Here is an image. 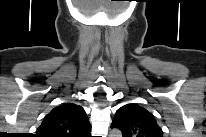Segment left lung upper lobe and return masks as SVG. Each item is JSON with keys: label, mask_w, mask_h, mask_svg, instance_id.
Wrapping results in <instances>:
<instances>
[{"label": "left lung upper lobe", "mask_w": 206, "mask_h": 137, "mask_svg": "<svg viewBox=\"0 0 206 137\" xmlns=\"http://www.w3.org/2000/svg\"><path fill=\"white\" fill-rule=\"evenodd\" d=\"M111 128L120 129L123 137H162L153 114L133 103L118 109Z\"/></svg>", "instance_id": "1"}]
</instances>
